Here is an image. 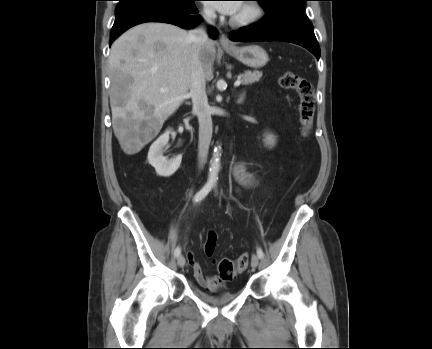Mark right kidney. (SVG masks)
I'll list each match as a JSON object with an SVG mask.
<instances>
[{"label": "right kidney", "instance_id": "ca27d5eb", "mask_svg": "<svg viewBox=\"0 0 432 349\" xmlns=\"http://www.w3.org/2000/svg\"><path fill=\"white\" fill-rule=\"evenodd\" d=\"M171 130L162 134L151 146L148 152V162L155 168L156 173L162 177L173 175L180 167L182 156L168 160L163 156V149L169 141Z\"/></svg>", "mask_w": 432, "mask_h": 349}]
</instances>
